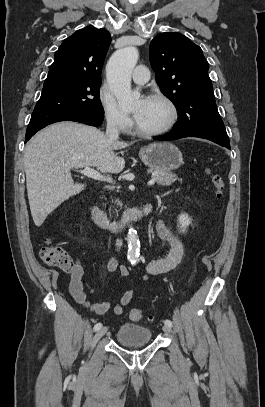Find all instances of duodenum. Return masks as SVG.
Here are the masks:
<instances>
[{
	"mask_svg": "<svg viewBox=\"0 0 265 407\" xmlns=\"http://www.w3.org/2000/svg\"><path fill=\"white\" fill-rule=\"evenodd\" d=\"M154 208V204L147 202L142 206L130 210L125 218L121 221L110 220L105 213L97 206H92L90 209V215L93 222L100 228L110 232H121L131 224L141 221L148 216Z\"/></svg>",
	"mask_w": 265,
	"mask_h": 407,
	"instance_id": "1",
	"label": "duodenum"
}]
</instances>
